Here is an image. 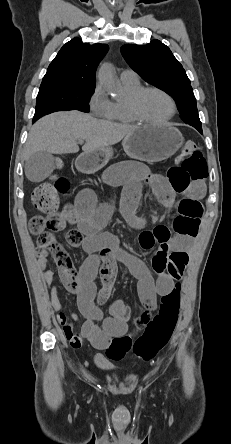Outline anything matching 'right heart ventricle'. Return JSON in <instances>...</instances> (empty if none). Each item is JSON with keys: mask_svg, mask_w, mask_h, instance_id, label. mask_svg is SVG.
I'll return each mask as SVG.
<instances>
[{"mask_svg": "<svg viewBox=\"0 0 231 444\" xmlns=\"http://www.w3.org/2000/svg\"><path fill=\"white\" fill-rule=\"evenodd\" d=\"M122 87L125 91V98L121 100H115L111 102V108L108 116L106 117L108 120L123 123V124H132L135 123L136 120L131 116L128 110V100L130 96L135 93L142 86L137 81H125L121 80Z\"/></svg>", "mask_w": 231, "mask_h": 444, "instance_id": "right-heart-ventricle-1", "label": "right heart ventricle"}]
</instances>
